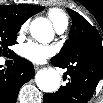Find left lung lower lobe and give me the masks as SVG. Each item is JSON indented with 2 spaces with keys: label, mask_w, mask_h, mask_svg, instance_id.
Wrapping results in <instances>:
<instances>
[{
  "label": "left lung lower lobe",
  "mask_w": 103,
  "mask_h": 103,
  "mask_svg": "<svg viewBox=\"0 0 103 103\" xmlns=\"http://www.w3.org/2000/svg\"><path fill=\"white\" fill-rule=\"evenodd\" d=\"M87 44L90 56L77 53L64 60L52 58L54 66L67 69L68 83L56 93H46L44 103H86L92 97L103 74L102 39Z\"/></svg>",
  "instance_id": "1"
}]
</instances>
